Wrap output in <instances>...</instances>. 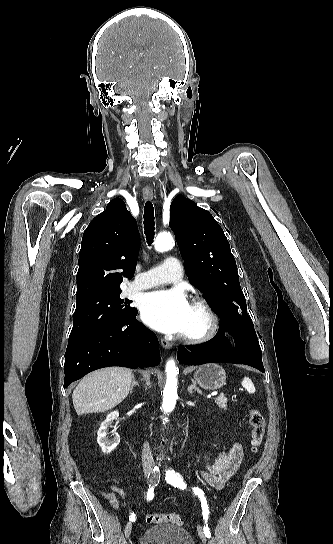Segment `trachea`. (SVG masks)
<instances>
[{"instance_id":"trachea-1","label":"trachea","mask_w":333,"mask_h":544,"mask_svg":"<svg viewBox=\"0 0 333 544\" xmlns=\"http://www.w3.org/2000/svg\"><path fill=\"white\" fill-rule=\"evenodd\" d=\"M144 221V233L146 236L147 243L150 245L153 242L154 239V229H155V222H154V208L150 201H147L145 203L144 207V215H143Z\"/></svg>"}]
</instances>
